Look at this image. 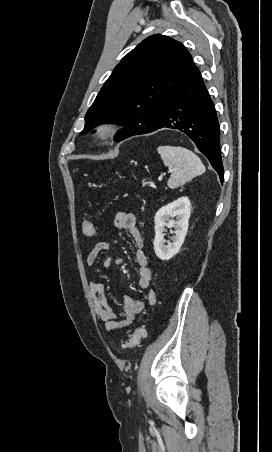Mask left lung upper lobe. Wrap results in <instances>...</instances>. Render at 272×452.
I'll return each instance as SVG.
<instances>
[{"label":"left lung upper lobe","instance_id":"1","mask_svg":"<svg viewBox=\"0 0 272 452\" xmlns=\"http://www.w3.org/2000/svg\"><path fill=\"white\" fill-rule=\"evenodd\" d=\"M193 65L184 46L167 36L152 35L115 67L85 116L81 134L103 123L125 127L116 136L153 126L180 81Z\"/></svg>","mask_w":272,"mask_h":452}]
</instances>
